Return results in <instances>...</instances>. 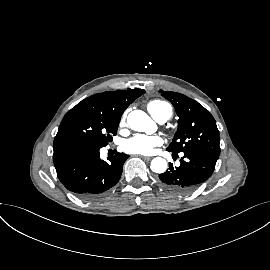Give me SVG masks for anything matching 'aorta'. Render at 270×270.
Wrapping results in <instances>:
<instances>
[{
	"mask_svg": "<svg viewBox=\"0 0 270 270\" xmlns=\"http://www.w3.org/2000/svg\"><path fill=\"white\" fill-rule=\"evenodd\" d=\"M129 127L135 131L153 133L156 130L155 122L143 111L134 110L127 117ZM151 170L155 173H163L167 169V161L156 157L151 161Z\"/></svg>",
	"mask_w": 270,
	"mask_h": 270,
	"instance_id": "762f6f07",
	"label": "aorta"
}]
</instances>
